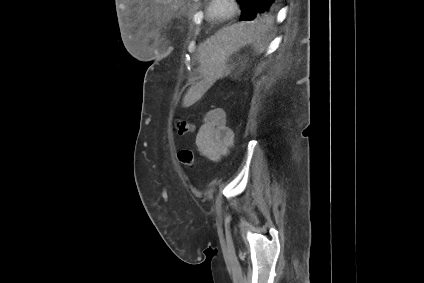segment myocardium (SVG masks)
Wrapping results in <instances>:
<instances>
[{
  "label": "myocardium",
  "instance_id": "1",
  "mask_svg": "<svg viewBox=\"0 0 424 283\" xmlns=\"http://www.w3.org/2000/svg\"><path fill=\"white\" fill-rule=\"evenodd\" d=\"M224 3L227 5V11L225 13H217V5ZM208 15L212 20L223 21L234 17L240 10V4L238 0H210L208 5Z\"/></svg>",
  "mask_w": 424,
  "mask_h": 283
}]
</instances>
